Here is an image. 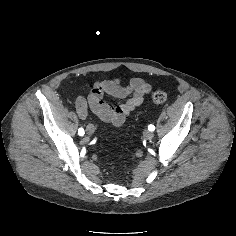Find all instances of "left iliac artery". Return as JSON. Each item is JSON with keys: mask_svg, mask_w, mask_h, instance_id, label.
I'll return each instance as SVG.
<instances>
[{"mask_svg": "<svg viewBox=\"0 0 236 236\" xmlns=\"http://www.w3.org/2000/svg\"><path fill=\"white\" fill-rule=\"evenodd\" d=\"M148 130H149V131H154V130H155V126L152 125V124H150V125L148 126Z\"/></svg>", "mask_w": 236, "mask_h": 236, "instance_id": "1", "label": "left iliac artery"}]
</instances>
